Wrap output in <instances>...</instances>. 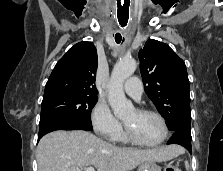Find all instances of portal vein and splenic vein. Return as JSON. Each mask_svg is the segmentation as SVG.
Masks as SVG:
<instances>
[{
	"label": "portal vein and splenic vein",
	"instance_id": "obj_1",
	"mask_svg": "<svg viewBox=\"0 0 223 171\" xmlns=\"http://www.w3.org/2000/svg\"><path fill=\"white\" fill-rule=\"evenodd\" d=\"M84 171H95L94 167L90 166V167H85Z\"/></svg>",
	"mask_w": 223,
	"mask_h": 171
}]
</instances>
